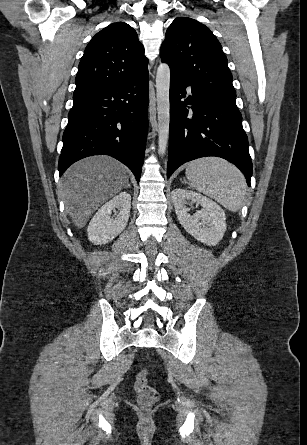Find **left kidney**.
Segmentation results:
<instances>
[{"label": "left kidney", "instance_id": "obj_1", "mask_svg": "<svg viewBox=\"0 0 307 445\" xmlns=\"http://www.w3.org/2000/svg\"><path fill=\"white\" fill-rule=\"evenodd\" d=\"M172 200L179 223L189 235L205 245H212V247L219 245L226 231L225 212L219 204L199 192L185 190V188H174ZM187 200L198 202L203 206L202 210H197L195 214H189L188 208L185 206Z\"/></svg>", "mask_w": 307, "mask_h": 445}]
</instances>
